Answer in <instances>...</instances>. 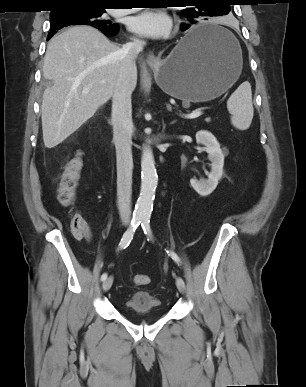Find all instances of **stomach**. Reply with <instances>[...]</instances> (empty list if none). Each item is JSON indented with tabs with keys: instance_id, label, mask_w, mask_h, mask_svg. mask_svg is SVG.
Listing matches in <instances>:
<instances>
[{
	"instance_id": "stomach-1",
	"label": "stomach",
	"mask_w": 306,
	"mask_h": 387,
	"mask_svg": "<svg viewBox=\"0 0 306 387\" xmlns=\"http://www.w3.org/2000/svg\"><path fill=\"white\" fill-rule=\"evenodd\" d=\"M218 30L230 40L210 39L192 45L187 36L193 32ZM243 66L238 41L226 29L206 22L194 26L163 60L152 65L159 87L185 103L206 102L226 92L239 78Z\"/></svg>"
}]
</instances>
